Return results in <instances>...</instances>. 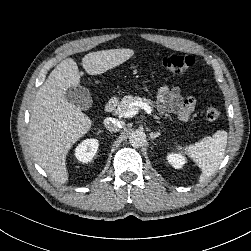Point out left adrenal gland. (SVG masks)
I'll return each mask as SVG.
<instances>
[{
	"instance_id": "left-adrenal-gland-1",
	"label": "left adrenal gland",
	"mask_w": 251,
	"mask_h": 251,
	"mask_svg": "<svg viewBox=\"0 0 251 251\" xmlns=\"http://www.w3.org/2000/svg\"><path fill=\"white\" fill-rule=\"evenodd\" d=\"M160 135H161V133H159V132H156V133L151 132L150 133V138H151V140H153V139L159 137Z\"/></svg>"
}]
</instances>
